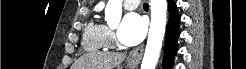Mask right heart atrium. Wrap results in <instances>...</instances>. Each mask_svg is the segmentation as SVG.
<instances>
[{
  "instance_id": "obj_1",
  "label": "right heart atrium",
  "mask_w": 246,
  "mask_h": 69,
  "mask_svg": "<svg viewBox=\"0 0 246 69\" xmlns=\"http://www.w3.org/2000/svg\"><path fill=\"white\" fill-rule=\"evenodd\" d=\"M109 33H110L111 40H114V34L111 31H109Z\"/></svg>"
}]
</instances>
